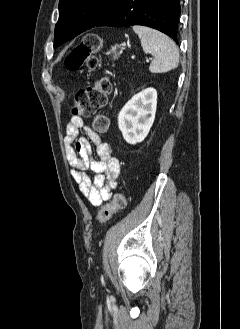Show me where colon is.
<instances>
[{"label":"colon","mask_w":240,"mask_h":329,"mask_svg":"<svg viewBox=\"0 0 240 329\" xmlns=\"http://www.w3.org/2000/svg\"><path fill=\"white\" fill-rule=\"evenodd\" d=\"M100 38L95 34L85 35L81 42L72 49L65 59V67L72 72L81 70L84 66L95 69L98 60L94 54L100 49ZM111 89L110 81L106 78L97 80L85 89L79 90L73 98V113L79 117L93 116L107 103ZM109 120L105 115H98L94 120V129L103 133L106 131ZM126 207V198L122 193H115L111 200L104 205L97 214V221H108L114 214Z\"/></svg>","instance_id":"obj_1"}]
</instances>
